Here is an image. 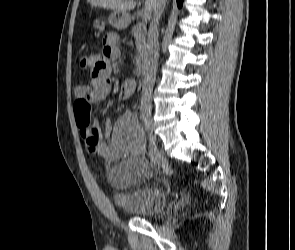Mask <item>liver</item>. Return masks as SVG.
<instances>
[{
    "mask_svg": "<svg viewBox=\"0 0 295 250\" xmlns=\"http://www.w3.org/2000/svg\"><path fill=\"white\" fill-rule=\"evenodd\" d=\"M92 6L103 7L106 9H112L118 12H126L136 7L137 3L135 0H90ZM155 0H146L145 8L154 10Z\"/></svg>",
    "mask_w": 295,
    "mask_h": 250,
    "instance_id": "1",
    "label": "liver"
}]
</instances>
